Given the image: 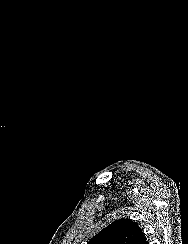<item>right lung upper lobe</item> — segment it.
Segmentation results:
<instances>
[{
  "label": "right lung upper lobe",
  "instance_id": "right-lung-upper-lobe-1",
  "mask_svg": "<svg viewBox=\"0 0 188 244\" xmlns=\"http://www.w3.org/2000/svg\"><path fill=\"white\" fill-rule=\"evenodd\" d=\"M88 244H149L142 229L132 220L119 219L95 235Z\"/></svg>",
  "mask_w": 188,
  "mask_h": 244
}]
</instances>
